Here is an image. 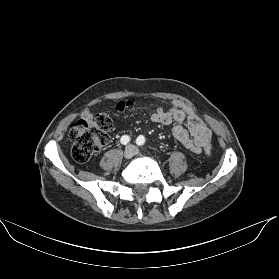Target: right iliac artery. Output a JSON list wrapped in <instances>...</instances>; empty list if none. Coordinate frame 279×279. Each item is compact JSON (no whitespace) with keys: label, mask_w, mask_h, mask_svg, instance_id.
<instances>
[{"label":"right iliac artery","mask_w":279,"mask_h":279,"mask_svg":"<svg viewBox=\"0 0 279 279\" xmlns=\"http://www.w3.org/2000/svg\"><path fill=\"white\" fill-rule=\"evenodd\" d=\"M120 141L123 145H126L130 141V137L128 135H123Z\"/></svg>","instance_id":"right-iliac-artery-1"}]
</instances>
